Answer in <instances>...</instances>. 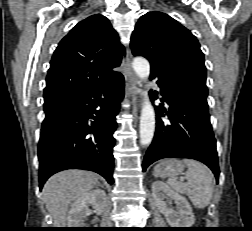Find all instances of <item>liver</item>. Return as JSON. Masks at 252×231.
<instances>
[{"mask_svg": "<svg viewBox=\"0 0 252 231\" xmlns=\"http://www.w3.org/2000/svg\"><path fill=\"white\" fill-rule=\"evenodd\" d=\"M97 184V177L83 170L63 171L48 179L43 188V197L55 228L66 226L69 205Z\"/></svg>", "mask_w": 252, "mask_h": 231, "instance_id": "1", "label": "liver"}]
</instances>
